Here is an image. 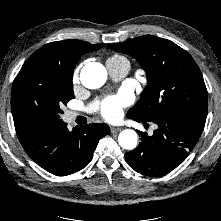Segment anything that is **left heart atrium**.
<instances>
[{"instance_id":"obj_1","label":"left heart atrium","mask_w":221,"mask_h":221,"mask_svg":"<svg viewBox=\"0 0 221 221\" xmlns=\"http://www.w3.org/2000/svg\"><path fill=\"white\" fill-rule=\"evenodd\" d=\"M130 103L131 96L129 94L119 93L95 101L93 109L106 120L113 121L122 115L123 108Z\"/></svg>"}]
</instances>
